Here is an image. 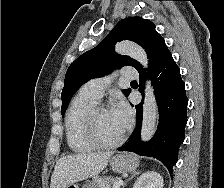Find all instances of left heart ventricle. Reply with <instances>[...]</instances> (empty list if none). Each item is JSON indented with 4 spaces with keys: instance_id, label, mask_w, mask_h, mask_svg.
<instances>
[{
    "instance_id": "1",
    "label": "left heart ventricle",
    "mask_w": 224,
    "mask_h": 188,
    "mask_svg": "<svg viewBox=\"0 0 224 188\" xmlns=\"http://www.w3.org/2000/svg\"><path fill=\"white\" fill-rule=\"evenodd\" d=\"M99 136L105 141L117 139L125 130V127L115 117L111 110L101 111L97 119Z\"/></svg>"
}]
</instances>
